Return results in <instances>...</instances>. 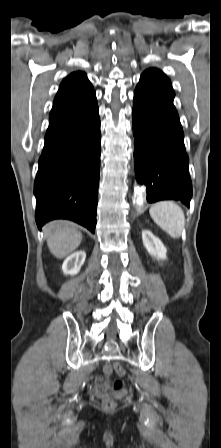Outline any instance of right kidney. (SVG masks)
<instances>
[{"instance_id": "obj_1", "label": "right kidney", "mask_w": 221, "mask_h": 448, "mask_svg": "<svg viewBox=\"0 0 221 448\" xmlns=\"http://www.w3.org/2000/svg\"><path fill=\"white\" fill-rule=\"evenodd\" d=\"M85 251H77L69 255L62 265V271L66 275L77 274L85 262Z\"/></svg>"}]
</instances>
